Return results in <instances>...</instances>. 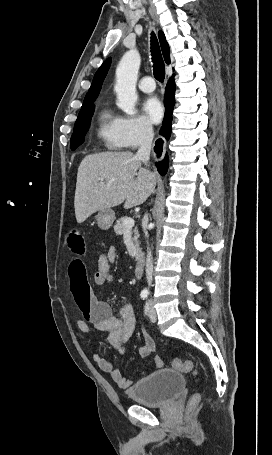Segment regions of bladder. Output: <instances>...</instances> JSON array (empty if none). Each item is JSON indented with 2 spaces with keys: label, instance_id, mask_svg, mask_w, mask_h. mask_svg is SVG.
<instances>
[{
  "label": "bladder",
  "instance_id": "31cf9c89",
  "mask_svg": "<svg viewBox=\"0 0 272 455\" xmlns=\"http://www.w3.org/2000/svg\"><path fill=\"white\" fill-rule=\"evenodd\" d=\"M184 386L185 380L181 373L161 369L135 383L128 390V396L137 403L160 407L173 401Z\"/></svg>",
  "mask_w": 272,
  "mask_h": 455
}]
</instances>
